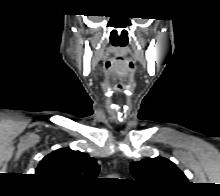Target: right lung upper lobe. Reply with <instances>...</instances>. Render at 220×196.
<instances>
[{
    "label": "right lung upper lobe",
    "mask_w": 220,
    "mask_h": 196,
    "mask_svg": "<svg viewBox=\"0 0 220 196\" xmlns=\"http://www.w3.org/2000/svg\"><path fill=\"white\" fill-rule=\"evenodd\" d=\"M100 170L94 158L70 148H60L45 156L36 173L50 181L82 185L96 179Z\"/></svg>",
    "instance_id": "1"
}]
</instances>
